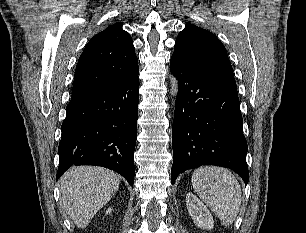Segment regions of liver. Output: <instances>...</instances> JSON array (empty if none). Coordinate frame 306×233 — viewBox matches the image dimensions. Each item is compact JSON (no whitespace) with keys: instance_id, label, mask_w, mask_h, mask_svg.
Returning a JSON list of instances; mask_svg holds the SVG:
<instances>
[{"instance_id":"liver-1","label":"liver","mask_w":306,"mask_h":233,"mask_svg":"<svg viewBox=\"0 0 306 233\" xmlns=\"http://www.w3.org/2000/svg\"><path fill=\"white\" fill-rule=\"evenodd\" d=\"M119 175L105 168L79 166L60 179L61 206L78 228H85L117 191Z\"/></svg>"}]
</instances>
